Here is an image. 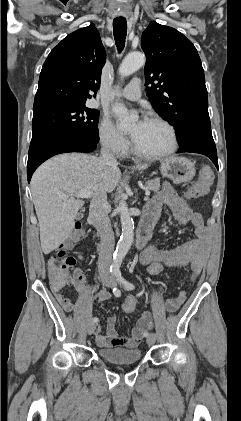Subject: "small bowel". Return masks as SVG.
Here are the masks:
<instances>
[{
	"label": "small bowel",
	"mask_w": 241,
	"mask_h": 421,
	"mask_svg": "<svg viewBox=\"0 0 241 421\" xmlns=\"http://www.w3.org/2000/svg\"><path fill=\"white\" fill-rule=\"evenodd\" d=\"M163 206L169 208L174 217L183 225L191 224L194 227L195 238L177 245L172 248L161 247L153 244L145 248L141 253L140 261L144 265L160 261L168 269H179L189 267L193 275H197L203 265L204 259L208 253L209 233L200 213L192 209L170 185H165L161 192L148 204L145 215L157 216L160 214ZM83 259V254L79 255ZM75 278L70 283L74 285L79 293H86L93 290L85 284L83 272L80 269L75 270ZM63 286H51L52 292L62 306V308L71 312L75 309V304L71 299L61 293ZM110 297L108 291H99L96 295L98 301L107 300ZM186 300V292H179L174 298L168 299L166 309L168 312H176ZM116 316L110 315L107 319L106 334L101 333L100 327L97 328L95 341L98 346L103 348L124 347L135 348L139 345L144 332L151 327V317L148 312H144L136 322V325L127 337L118 335L116 331Z\"/></svg>",
	"instance_id": "c3829d8e"
}]
</instances>
